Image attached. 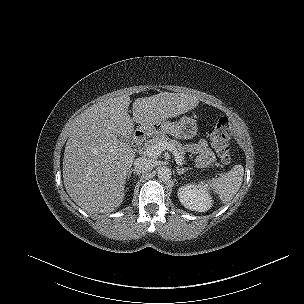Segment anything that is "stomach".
<instances>
[{"instance_id":"1","label":"stomach","mask_w":304,"mask_h":304,"mask_svg":"<svg viewBox=\"0 0 304 304\" xmlns=\"http://www.w3.org/2000/svg\"><path fill=\"white\" fill-rule=\"evenodd\" d=\"M157 130L171 134L178 139H191L197 134L196 121L191 117H182L178 122L160 121L154 125ZM148 128L147 126H144Z\"/></svg>"}]
</instances>
